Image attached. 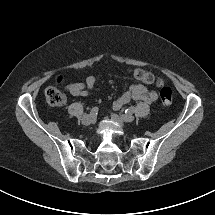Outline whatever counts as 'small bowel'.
I'll use <instances>...</instances> for the list:
<instances>
[{
    "instance_id": "obj_1",
    "label": "small bowel",
    "mask_w": 215,
    "mask_h": 215,
    "mask_svg": "<svg viewBox=\"0 0 215 215\" xmlns=\"http://www.w3.org/2000/svg\"><path fill=\"white\" fill-rule=\"evenodd\" d=\"M96 85V78L93 75L86 77L84 83H72L67 86V91L73 96L85 97L88 95L89 90H92ZM157 99V93L155 91L148 90L141 84H130L128 90L123 93L113 103V109L118 110L123 105L131 100H141L146 103H153Z\"/></svg>"
}]
</instances>
